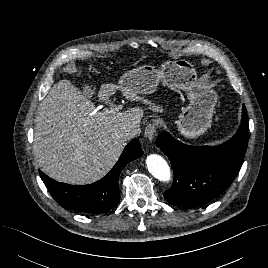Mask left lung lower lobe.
Instances as JSON below:
<instances>
[{"label": "left lung lower lobe", "instance_id": "obj_1", "mask_svg": "<svg viewBox=\"0 0 268 268\" xmlns=\"http://www.w3.org/2000/svg\"><path fill=\"white\" fill-rule=\"evenodd\" d=\"M249 140L246 107L235 135L217 147L189 146L162 132L156 145L169 158L174 181L164 198L172 205L199 207L220 195L237 176Z\"/></svg>", "mask_w": 268, "mask_h": 268}]
</instances>
